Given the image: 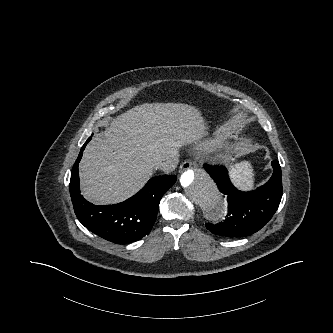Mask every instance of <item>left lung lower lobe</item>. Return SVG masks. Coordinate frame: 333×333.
I'll return each instance as SVG.
<instances>
[{
    "label": "left lung lower lobe",
    "instance_id": "0a47b994",
    "mask_svg": "<svg viewBox=\"0 0 333 333\" xmlns=\"http://www.w3.org/2000/svg\"><path fill=\"white\" fill-rule=\"evenodd\" d=\"M274 172L270 180L251 192L237 190L229 180L224 166H205L219 190L227 195L228 214L220 224L206 223L209 231L220 236L242 237L260 230L272 218L282 198L281 167L272 161Z\"/></svg>",
    "mask_w": 333,
    "mask_h": 333
}]
</instances>
